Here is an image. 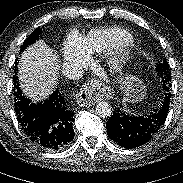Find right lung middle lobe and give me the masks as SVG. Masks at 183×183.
<instances>
[{"label":"right lung middle lobe","mask_w":183,"mask_h":183,"mask_svg":"<svg viewBox=\"0 0 183 183\" xmlns=\"http://www.w3.org/2000/svg\"><path fill=\"white\" fill-rule=\"evenodd\" d=\"M40 30L39 28H36L31 34L30 36L27 38V40L24 41L21 51H24L29 45H31L32 43H34L36 40H38L39 34H40ZM17 59L15 61V70L17 68ZM16 73V72H15Z\"/></svg>","instance_id":"right-lung-middle-lobe-1"}]
</instances>
